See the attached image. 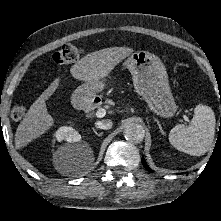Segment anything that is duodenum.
<instances>
[{"label":"duodenum","instance_id":"duodenum-1","mask_svg":"<svg viewBox=\"0 0 221 221\" xmlns=\"http://www.w3.org/2000/svg\"><path fill=\"white\" fill-rule=\"evenodd\" d=\"M96 103H97L96 99L87 100L86 98L81 97L77 99L76 104L84 111L90 112L96 108Z\"/></svg>","mask_w":221,"mask_h":221}]
</instances>
